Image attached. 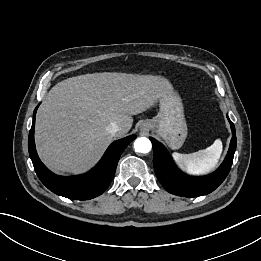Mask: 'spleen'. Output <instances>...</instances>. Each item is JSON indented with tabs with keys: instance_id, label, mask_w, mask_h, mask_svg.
<instances>
[{
	"instance_id": "3e777b00",
	"label": "spleen",
	"mask_w": 261,
	"mask_h": 261,
	"mask_svg": "<svg viewBox=\"0 0 261 261\" xmlns=\"http://www.w3.org/2000/svg\"><path fill=\"white\" fill-rule=\"evenodd\" d=\"M222 142L216 139L214 143L204 150L190 154L174 152L173 158L176 163L189 174L202 175L209 173L217 165L221 153Z\"/></svg>"
}]
</instances>
